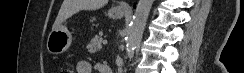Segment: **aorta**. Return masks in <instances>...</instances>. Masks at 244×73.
<instances>
[{
	"mask_svg": "<svg viewBox=\"0 0 244 73\" xmlns=\"http://www.w3.org/2000/svg\"><path fill=\"white\" fill-rule=\"evenodd\" d=\"M154 0H139L126 39V52L132 53L145 28Z\"/></svg>",
	"mask_w": 244,
	"mask_h": 73,
	"instance_id": "obj_1",
	"label": "aorta"
}]
</instances>
